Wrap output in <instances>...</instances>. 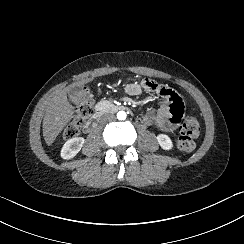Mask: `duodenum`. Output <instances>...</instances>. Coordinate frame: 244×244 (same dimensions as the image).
I'll use <instances>...</instances> for the list:
<instances>
[{
    "label": "duodenum",
    "mask_w": 244,
    "mask_h": 244,
    "mask_svg": "<svg viewBox=\"0 0 244 244\" xmlns=\"http://www.w3.org/2000/svg\"><path fill=\"white\" fill-rule=\"evenodd\" d=\"M114 109L116 111L125 110L126 106L124 104H115ZM101 110H102V108H99L97 110L96 114L94 115V118H97L101 114ZM94 125H95L94 120L91 119V121L89 123H87V125H86V130L87 131H92L93 128H94Z\"/></svg>",
    "instance_id": "duodenum-1"
}]
</instances>
